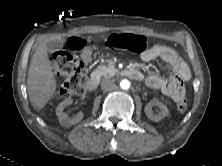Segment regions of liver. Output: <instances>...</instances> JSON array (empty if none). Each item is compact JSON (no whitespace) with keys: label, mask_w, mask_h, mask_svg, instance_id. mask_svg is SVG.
<instances>
[{"label":"liver","mask_w":222,"mask_h":166,"mask_svg":"<svg viewBox=\"0 0 222 166\" xmlns=\"http://www.w3.org/2000/svg\"><path fill=\"white\" fill-rule=\"evenodd\" d=\"M47 50L45 43L38 45L28 70V95L32 106L36 110H41L45 107L57 88Z\"/></svg>","instance_id":"obj_1"}]
</instances>
